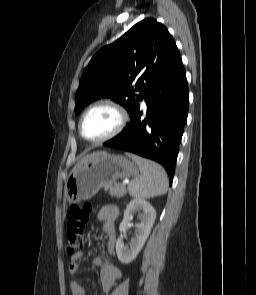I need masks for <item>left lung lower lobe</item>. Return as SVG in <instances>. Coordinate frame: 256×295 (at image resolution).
<instances>
[{
	"label": "left lung lower lobe",
	"mask_w": 256,
	"mask_h": 295,
	"mask_svg": "<svg viewBox=\"0 0 256 295\" xmlns=\"http://www.w3.org/2000/svg\"><path fill=\"white\" fill-rule=\"evenodd\" d=\"M144 99L147 115L141 120L140 105L130 123L104 146L122 149L162 164L172 184L188 115L189 91L182 60L148 90Z\"/></svg>",
	"instance_id": "left-lung-lower-lobe-1"
}]
</instances>
